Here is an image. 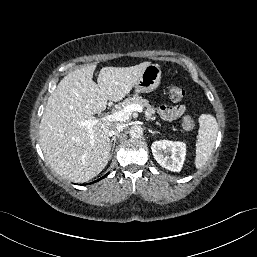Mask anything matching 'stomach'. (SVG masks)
<instances>
[{
	"mask_svg": "<svg viewBox=\"0 0 257 257\" xmlns=\"http://www.w3.org/2000/svg\"><path fill=\"white\" fill-rule=\"evenodd\" d=\"M161 81V68L157 64L148 65L140 78L135 84V91L137 93L146 92L149 93L155 90Z\"/></svg>",
	"mask_w": 257,
	"mask_h": 257,
	"instance_id": "obj_1",
	"label": "stomach"
}]
</instances>
